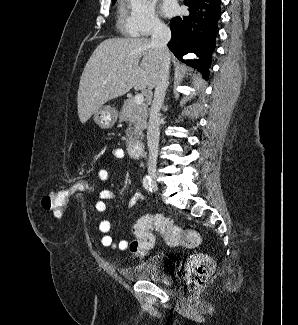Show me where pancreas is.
<instances>
[{
  "mask_svg": "<svg viewBox=\"0 0 298 325\" xmlns=\"http://www.w3.org/2000/svg\"><path fill=\"white\" fill-rule=\"evenodd\" d=\"M148 110L147 102L135 104L133 96L124 100L119 114V122H124V120L129 122V126L125 130L127 144H131V142L143 136V130L147 126Z\"/></svg>",
  "mask_w": 298,
  "mask_h": 325,
  "instance_id": "1",
  "label": "pancreas"
}]
</instances>
